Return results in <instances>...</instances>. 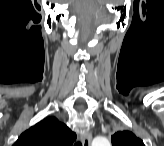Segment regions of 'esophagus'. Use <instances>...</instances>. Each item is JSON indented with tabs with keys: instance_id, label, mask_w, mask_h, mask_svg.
<instances>
[{
	"instance_id": "obj_1",
	"label": "esophagus",
	"mask_w": 164,
	"mask_h": 146,
	"mask_svg": "<svg viewBox=\"0 0 164 146\" xmlns=\"http://www.w3.org/2000/svg\"><path fill=\"white\" fill-rule=\"evenodd\" d=\"M91 142H92V134L91 132H86L82 136V144L83 146H91Z\"/></svg>"
}]
</instances>
